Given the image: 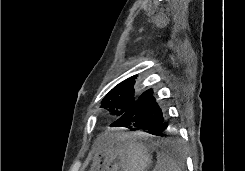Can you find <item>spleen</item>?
<instances>
[{
  "mask_svg": "<svg viewBox=\"0 0 245 171\" xmlns=\"http://www.w3.org/2000/svg\"><path fill=\"white\" fill-rule=\"evenodd\" d=\"M153 171H181V168L168 154L161 152L157 155Z\"/></svg>",
  "mask_w": 245,
  "mask_h": 171,
  "instance_id": "obj_1",
  "label": "spleen"
}]
</instances>
